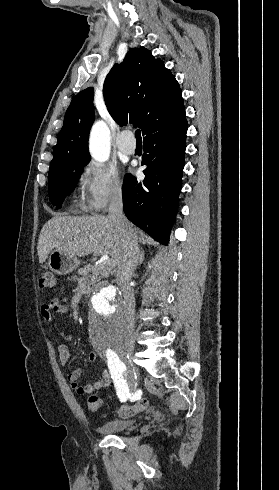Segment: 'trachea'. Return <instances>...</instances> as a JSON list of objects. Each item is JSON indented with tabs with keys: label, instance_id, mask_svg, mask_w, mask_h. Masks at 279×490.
<instances>
[{
	"label": "trachea",
	"instance_id": "trachea-1",
	"mask_svg": "<svg viewBox=\"0 0 279 490\" xmlns=\"http://www.w3.org/2000/svg\"><path fill=\"white\" fill-rule=\"evenodd\" d=\"M135 137H136L137 142H141L142 141L140 130H136L135 131Z\"/></svg>",
	"mask_w": 279,
	"mask_h": 490
}]
</instances>
